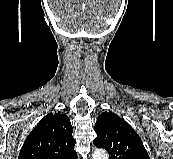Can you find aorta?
<instances>
[{
  "label": "aorta",
  "instance_id": "762f6f07",
  "mask_svg": "<svg viewBox=\"0 0 173 159\" xmlns=\"http://www.w3.org/2000/svg\"><path fill=\"white\" fill-rule=\"evenodd\" d=\"M92 159H109L108 154L103 149H97L92 155Z\"/></svg>",
  "mask_w": 173,
  "mask_h": 159
}]
</instances>
